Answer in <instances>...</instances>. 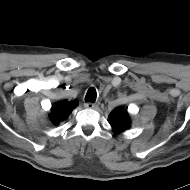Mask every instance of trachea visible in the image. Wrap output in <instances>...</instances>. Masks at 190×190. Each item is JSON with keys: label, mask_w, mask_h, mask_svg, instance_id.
<instances>
[{"label": "trachea", "mask_w": 190, "mask_h": 190, "mask_svg": "<svg viewBox=\"0 0 190 190\" xmlns=\"http://www.w3.org/2000/svg\"><path fill=\"white\" fill-rule=\"evenodd\" d=\"M96 97H97V93L95 88H90L85 96V102H95L96 101Z\"/></svg>", "instance_id": "3493384b"}]
</instances>
